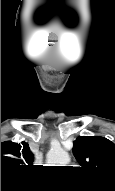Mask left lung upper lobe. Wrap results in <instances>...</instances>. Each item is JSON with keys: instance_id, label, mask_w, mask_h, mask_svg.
<instances>
[{"instance_id": "obj_1", "label": "left lung upper lobe", "mask_w": 115, "mask_h": 191, "mask_svg": "<svg viewBox=\"0 0 115 191\" xmlns=\"http://www.w3.org/2000/svg\"><path fill=\"white\" fill-rule=\"evenodd\" d=\"M73 154L81 169L115 187V144L105 137L79 136Z\"/></svg>"}]
</instances>
